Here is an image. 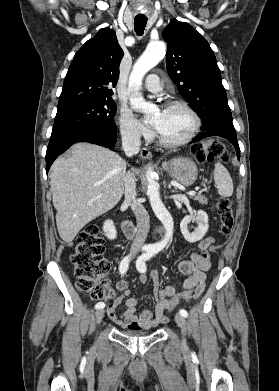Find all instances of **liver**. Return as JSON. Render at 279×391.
Masks as SVG:
<instances>
[{"label": "liver", "instance_id": "6515ba94", "mask_svg": "<svg viewBox=\"0 0 279 391\" xmlns=\"http://www.w3.org/2000/svg\"><path fill=\"white\" fill-rule=\"evenodd\" d=\"M125 172L126 162L117 153L89 143L74 144L69 157L54 161L50 186L63 241L72 242L86 224L117 205Z\"/></svg>", "mask_w": 279, "mask_h": 391}]
</instances>
